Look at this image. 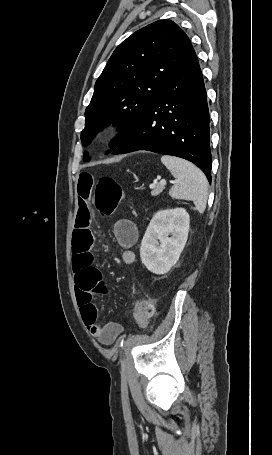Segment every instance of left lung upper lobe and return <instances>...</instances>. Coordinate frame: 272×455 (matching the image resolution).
Segmentation results:
<instances>
[{
  "instance_id": "5c2ea615",
  "label": "left lung upper lobe",
  "mask_w": 272,
  "mask_h": 455,
  "mask_svg": "<svg viewBox=\"0 0 272 455\" xmlns=\"http://www.w3.org/2000/svg\"><path fill=\"white\" fill-rule=\"evenodd\" d=\"M196 57L188 36L170 20L156 21L129 36L95 83L85 111L82 144L87 146L113 120L121 132L111 142L116 149L168 81ZM83 160H90L86 152Z\"/></svg>"
}]
</instances>
